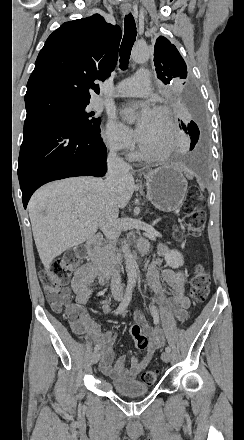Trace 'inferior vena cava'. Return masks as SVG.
Wrapping results in <instances>:
<instances>
[{"label":"inferior vena cava","instance_id":"inferior-vena-cava-1","mask_svg":"<svg viewBox=\"0 0 244 440\" xmlns=\"http://www.w3.org/2000/svg\"><path fill=\"white\" fill-rule=\"evenodd\" d=\"M107 168L106 180L103 182V186L106 188L105 208L100 212L99 228H101L104 236L110 240L112 246H115L120 236V228L117 224L119 208L113 192L118 188L121 178L127 176L132 168L122 158H119L116 152H110L107 158ZM110 288L113 296H123L121 276L118 270H115L112 276Z\"/></svg>","mask_w":244,"mask_h":440}]
</instances>
